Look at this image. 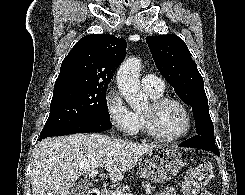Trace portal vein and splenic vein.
Segmentation results:
<instances>
[{
	"instance_id": "portal-vein-and-splenic-vein-1",
	"label": "portal vein and splenic vein",
	"mask_w": 245,
	"mask_h": 195,
	"mask_svg": "<svg viewBox=\"0 0 245 195\" xmlns=\"http://www.w3.org/2000/svg\"><path fill=\"white\" fill-rule=\"evenodd\" d=\"M97 174H98V170L97 169L92 170L89 173V178H94ZM112 195H133V194L132 193H114V192H112Z\"/></svg>"
}]
</instances>
